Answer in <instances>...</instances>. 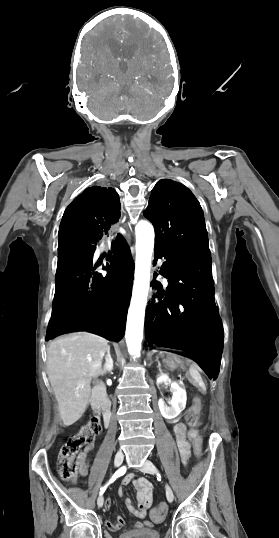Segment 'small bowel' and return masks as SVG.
<instances>
[{
    "mask_svg": "<svg viewBox=\"0 0 279 538\" xmlns=\"http://www.w3.org/2000/svg\"><path fill=\"white\" fill-rule=\"evenodd\" d=\"M174 435L176 438V443L180 452L181 459L183 463L186 464L190 456V444L187 440L186 427L182 423L176 424L174 426ZM92 449L93 445L88 444L78 457V465L80 466L82 475H85L87 472L89 455ZM130 483L133 484L137 492L138 509L134 508L132 501L129 498L125 499V505L128 511L133 516L139 519V521H136L133 524L132 530L139 531L146 528H150L152 526V523L144 519L147 515L148 509L151 507L153 502V486L148 480L144 478L134 479L133 473H128L124 476L122 480L123 486ZM118 495L120 497L123 495L121 487L118 489ZM111 505V499L107 498L105 502V508L108 510L110 509ZM106 525L112 531H119L124 528L125 520L123 519V517L117 516L114 521H106Z\"/></svg>",
    "mask_w": 279,
    "mask_h": 538,
    "instance_id": "small-bowel-1",
    "label": "small bowel"
}]
</instances>
